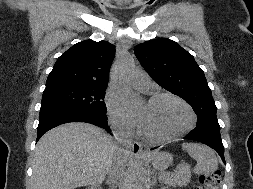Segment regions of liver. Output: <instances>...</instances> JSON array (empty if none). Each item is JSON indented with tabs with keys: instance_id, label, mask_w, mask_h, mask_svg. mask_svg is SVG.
Segmentation results:
<instances>
[{
	"instance_id": "obj_1",
	"label": "liver",
	"mask_w": 253,
	"mask_h": 189,
	"mask_svg": "<svg viewBox=\"0 0 253 189\" xmlns=\"http://www.w3.org/2000/svg\"><path fill=\"white\" fill-rule=\"evenodd\" d=\"M126 164L130 153L102 129L88 123H67L45 133L33 157V189H75L98 185L116 160Z\"/></svg>"
}]
</instances>
